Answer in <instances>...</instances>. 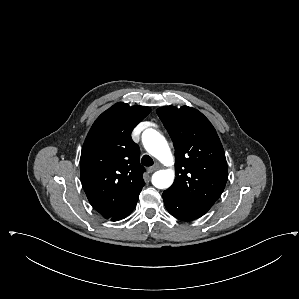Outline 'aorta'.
Instances as JSON below:
<instances>
[{
	"label": "aorta",
	"instance_id": "aorta-1",
	"mask_svg": "<svg viewBox=\"0 0 299 299\" xmlns=\"http://www.w3.org/2000/svg\"><path fill=\"white\" fill-rule=\"evenodd\" d=\"M142 142L152 156L166 166L174 164V158L166 139L154 129H146L142 134ZM173 169L159 170L152 175V184L158 189L169 188L174 181Z\"/></svg>",
	"mask_w": 299,
	"mask_h": 299
}]
</instances>
